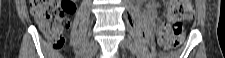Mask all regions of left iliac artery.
<instances>
[{
    "instance_id": "1",
    "label": "left iliac artery",
    "mask_w": 225,
    "mask_h": 58,
    "mask_svg": "<svg viewBox=\"0 0 225 58\" xmlns=\"http://www.w3.org/2000/svg\"><path fill=\"white\" fill-rule=\"evenodd\" d=\"M131 49L133 50V51H137V47H136V45L133 43L132 45H131ZM137 56H138V58H139V56H140V53L137 51Z\"/></svg>"
}]
</instances>
